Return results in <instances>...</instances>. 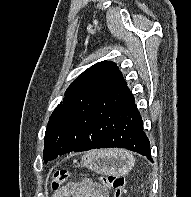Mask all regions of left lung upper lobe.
<instances>
[{
  "instance_id": "obj_1",
  "label": "left lung upper lobe",
  "mask_w": 191,
  "mask_h": 197,
  "mask_svg": "<svg viewBox=\"0 0 191 197\" xmlns=\"http://www.w3.org/2000/svg\"><path fill=\"white\" fill-rule=\"evenodd\" d=\"M122 82L125 80L117 65L114 62L102 61L85 70L71 83L65 92L63 102L49 118L45 132V162L58 155L73 152L74 148L67 142L64 128L69 125L84 102Z\"/></svg>"
}]
</instances>
